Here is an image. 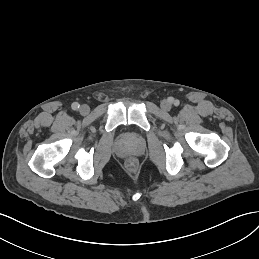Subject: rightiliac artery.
<instances>
[{
    "mask_svg": "<svg viewBox=\"0 0 259 259\" xmlns=\"http://www.w3.org/2000/svg\"><path fill=\"white\" fill-rule=\"evenodd\" d=\"M71 107L73 110H78L80 105L77 102H74Z\"/></svg>",
    "mask_w": 259,
    "mask_h": 259,
    "instance_id": "82829eb1",
    "label": "right iliac artery"
}]
</instances>
